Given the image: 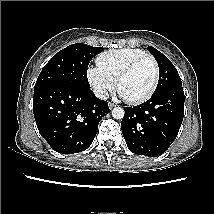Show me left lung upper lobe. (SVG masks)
<instances>
[{
  "instance_id": "1",
  "label": "left lung upper lobe",
  "mask_w": 214,
  "mask_h": 214,
  "mask_svg": "<svg viewBox=\"0 0 214 214\" xmlns=\"http://www.w3.org/2000/svg\"><path fill=\"white\" fill-rule=\"evenodd\" d=\"M147 50L155 57L159 66V81L154 93L175 85H182L181 78L171 61L154 47H147Z\"/></svg>"
}]
</instances>
